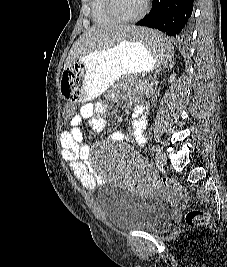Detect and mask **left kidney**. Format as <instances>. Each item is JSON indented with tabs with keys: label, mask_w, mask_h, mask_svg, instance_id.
I'll use <instances>...</instances> for the list:
<instances>
[{
	"label": "left kidney",
	"mask_w": 227,
	"mask_h": 267,
	"mask_svg": "<svg viewBox=\"0 0 227 267\" xmlns=\"http://www.w3.org/2000/svg\"><path fill=\"white\" fill-rule=\"evenodd\" d=\"M174 78H175V74H172V75L170 76V80H169V82H170V83L173 82V81H174Z\"/></svg>",
	"instance_id": "left-kidney-1"
}]
</instances>
